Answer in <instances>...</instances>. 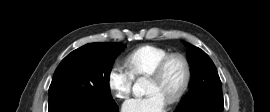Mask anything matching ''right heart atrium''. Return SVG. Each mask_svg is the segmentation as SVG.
<instances>
[{
    "label": "right heart atrium",
    "instance_id": "1",
    "mask_svg": "<svg viewBox=\"0 0 270 112\" xmlns=\"http://www.w3.org/2000/svg\"><path fill=\"white\" fill-rule=\"evenodd\" d=\"M134 83V76L132 73L121 63H114L107 75V84L112 95L119 99L124 100L129 97Z\"/></svg>",
    "mask_w": 270,
    "mask_h": 112
}]
</instances>
